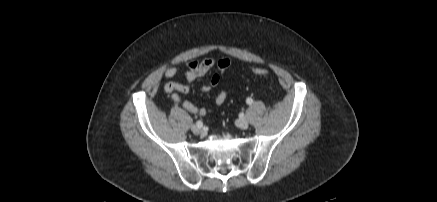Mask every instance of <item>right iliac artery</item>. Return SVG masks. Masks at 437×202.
Wrapping results in <instances>:
<instances>
[{"mask_svg":"<svg viewBox=\"0 0 437 202\" xmlns=\"http://www.w3.org/2000/svg\"><path fill=\"white\" fill-rule=\"evenodd\" d=\"M196 126H198V127H202V126H203V122H202V121H200V120H199V121H197V122H196Z\"/></svg>","mask_w":437,"mask_h":202,"instance_id":"obj_1","label":"right iliac artery"}]
</instances>
